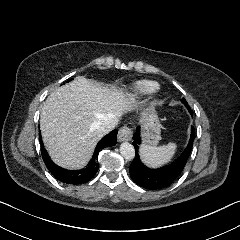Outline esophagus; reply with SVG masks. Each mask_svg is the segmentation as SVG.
Segmentation results:
<instances>
[{
    "mask_svg": "<svg viewBox=\"0 0 240 240\" xmlns=\"http://www.w3.org/2000/svg\"><path fill=\"white\" fill-rule=\"evenodd\" d=\"M132 138V130L127 127V126H123L122 128H120V130L118 131V140L120 142H124V141H129Z\"/></svg>",
    "mask_w": 240,
    "mask_h": 240,
    "instance_id": "esophagus-1",
    "label": "esophagus"
}]
</instances>
